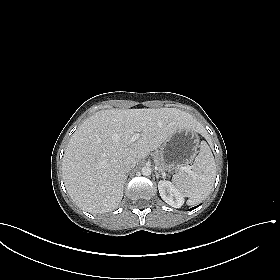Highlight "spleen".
Wrapping results in <instances>:
<instances>
[{
	"label": "spleen",
	"mask_w": 280,
	"mask_h": 280,
	"mask_svg": "<svg viewBox=\"0 0 280 280\" xmlns=\"http://www.w3.org/2000/svg\"><path fill=\"white\" fill-rule=\"evenodd\" d=\"M216 178V164L210 147L201 142L200 151L194 164L187 172H178L172 182L184 197L187 204L195 205L203 201L213 188Z\"/></svg>",
	"instance_id": "3e777b00"
}]
</instances>
